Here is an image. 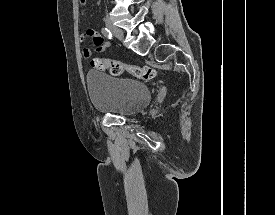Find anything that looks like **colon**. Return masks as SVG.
Masks as SVG:
<instances>
[{
  "label": "colon",
  "instance_id": "5ec220e1",
  "mask_svg": "<svg viewBox=\"0 0 275 215\" xmlns=\"http://www.w3.org/2000/svg\"><path fill=\"white\" fill-rule=\"evenodd\" d=\"M80 2L84 5L86 0H80ZM91 64L96 69L102 71L107 70L113 75H118L123 71H126L133 77L144 81H150L155 76V70L149 66L122 64L107 57H96L92 60Z\"/></svg>",
  "mask_w": 275,
  "mask_h": 215
}]
</instances>
